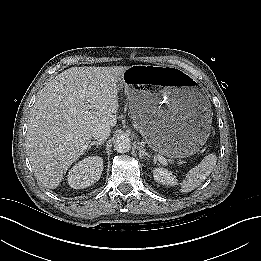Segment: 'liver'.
Returning a JSON list of instances; mask_svg holds the SVG:
<instances>
[{
	"mask_svg": "<svg viewBox=\"0 0 261 261\" xmlns=\"http://www.w3.org/2000/svg\"><path fill=\"white\" fill-rule=\"evenodd\" d=\"M128 68L71 67L38 93L29 116L27 153L44 187L59 186L88 149L94 128L116 125L119 82Z\"/></svg>",
	"mask_w": 261,
	"mask_h": 261,
	"instance_id": "liver-1",
	"label": "liver"
}]
</instances>
